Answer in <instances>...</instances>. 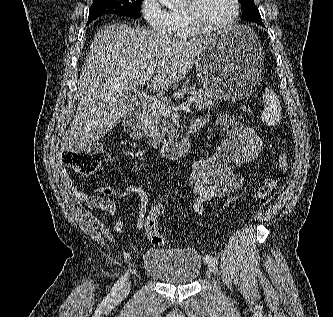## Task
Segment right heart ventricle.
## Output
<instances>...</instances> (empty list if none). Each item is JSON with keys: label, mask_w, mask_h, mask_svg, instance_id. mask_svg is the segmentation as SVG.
<instances>
[{"label": "right heart ventricle", "mask_w": 333, "mask_h": 317, "mask_svg": "<svg viewBox=\"0 0 333 317\" xmlns=\"http://www.w3.org/2000/svg\"><path fill=\"white\" fill-rule=\"evenodd\" d=\"M171 26L169 33L175 38L187 39L198 35L186 21L181 9L173 10L170 12Z\"/></svg>", "instance_id": "1"}]
</instances>
